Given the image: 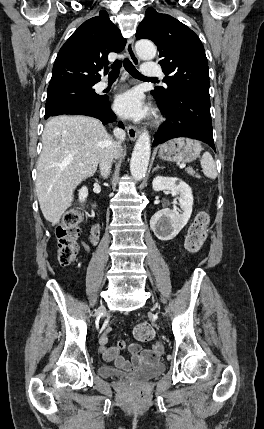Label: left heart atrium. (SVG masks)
Returning a JSON list of instances; mask_svg holds the SVG:
<instances>
[{
	"label": "left heart atrium",
	"mask_w": 264,
	"mask_h": 429,
	"mask_svg": "<svg viewBox=\"0 0 264 429\" xmlns=\"http://www.w3.org/2000/svg\"><path fill=\"white\" fill-rule=\"evenodd\" d=\"M114 109L120 116L136 120L148 113V108L143 102L142 95L136 90L120 94L115 100Z\"/></svg>",
	"instance_id": "39dd6f15"
}]
</instances>
